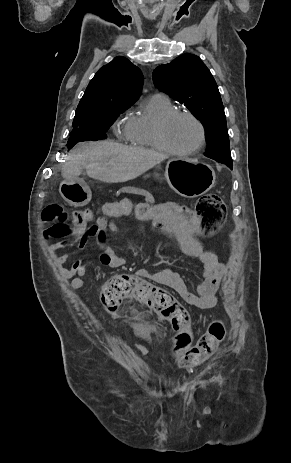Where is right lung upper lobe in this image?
Wrapping results in <instances>:
<instances>
[{"instance_id":"cb5924a9","label":"right lung upper lobe","mask_w":291,"mask_h":463,"mask_svg":"<svg viewBox=\"0 0 291 463\" xmlns=\"http://www.w3.org/2000/svg\"><path fill=\"white\" fill-rule=\"evenodd\" d=\"M143 82L141 70L125 57L117 56L100 68L89 82L76 113L109 102L134 104L141 95Z\"/></svg>"}]
</instances>
